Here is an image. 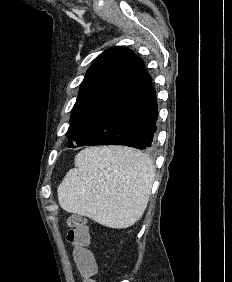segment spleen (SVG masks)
<instances>
[{"instance_id": "3e777b00", "label": "spleen", "mask_w": 232, "mask_h": 282, "mask_svg": "<svg viewBox=\"0 0 232 282\" xmlns=\"http://www.w3.org/2000/svg\"><path fill=\"white\" fill-rule=\"evenodd\" d=\"M74 164L57 190L65 211L111 228H127L140 219L155 177L148 155L126 147H90Z\"/></svg>"}]
</instances>
